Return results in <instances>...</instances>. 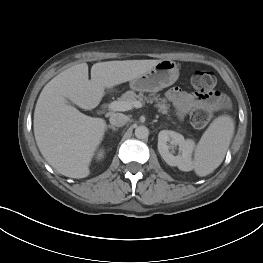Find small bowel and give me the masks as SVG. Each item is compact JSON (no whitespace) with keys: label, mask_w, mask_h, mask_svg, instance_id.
Masks as SVG:
<instances>
[{"label":"small bowel","mask_w":263,"mask_h":263,"mask_svg":"<svg viewBox=\"0 0 263 263\" xmlns=\"http://www.w3.org/2000/svg\"><path fill=\"white\" fill-rule=\"evenodd\" d=\"M168 101H170L180 117H184L192 109L200 106H209L215 108L222 102V96L216 93L209 98H203L196 93L186 92L178 87L169 89L166 93Z\"/></svg>","instance_id":"c3829d8e"}]
</instances>
